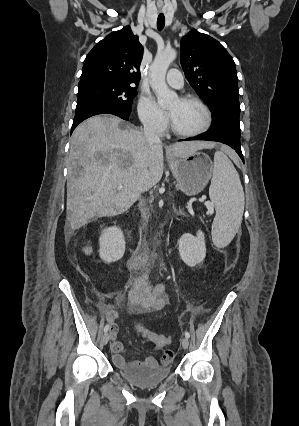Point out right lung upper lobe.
<instances>
[{"mask_svg": "<svg viewBox=\"0 0 299 426\" xmlns=\"http://www.w3.org/2000/svg\"><path fill=\"white\" fill-rule=\"evenodd\" d=\"M143 47L129 26L107 35L85 58L79 85L138 84Z\"/></svg>", "mask_w": 299, "mask_h": 426, "instance_id": "cb5924a9", "label": "right lung upper lobe"}]
</instances>
